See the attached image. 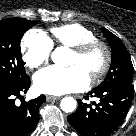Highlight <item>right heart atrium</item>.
<instances>
[{"instance_id": "d8ad5b80", "label": "right heart atrium", "mask_w": 136, "mask_h": 136, "mask_svg": "<svg viewBox=\"0 0 136 136\" xmlns=\"http://www.w3.org/2000/svg\"><path fill=\"white\" fill-rule=\"evenodd\" d=\"M52 51L49 38L38 30H30L22 38V60L29 69H35L47 62Z\"/></svg>"}]
</instances>
